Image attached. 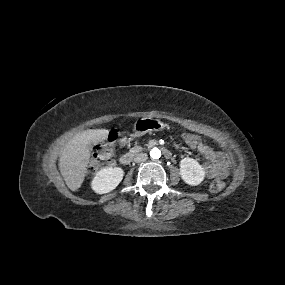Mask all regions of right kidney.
I'll return each instance as SVG.
<instances>
[{
	"instance_id": "obj_1",
	"label": "right kidney",
	"mask_w": 285,
	"mask_h": 285,
	"mask_svg": "<svg viewBox=\"0 0 285 285\" xmlns=\"http://www.w3.org/2000/svg\"><path fill=\"white\" fill-rule=\"evenodd\" d=\"M124 171L120 167L101 169L91 182V188L98 194L109 193L122 181Z\"/></svg>"
}]
</instances>
